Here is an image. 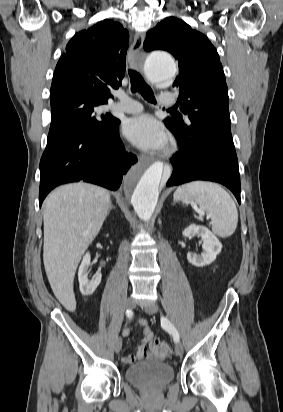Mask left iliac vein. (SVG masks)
Returning a JSON list of instances; mask_svg holds the SVG:
<instances>
[{"instance_id": "4c4485c4", "label": "left iliac vein", "mask_w": 283, "mask_h": 412, "mask_svg": "<svg viewBox=\"0 0 283 412\" xmlns=\"http://www.w3.org/2000/svg\"><path fill=\"white\" fill-rule=\"evenodd\" d=\"M144 309H145V312L148 313V314H155L159 310L157 304H155V303H151L149 305H146L144 307ZM175 353L178 356H181L182 353H183V346L180 342L175 343Z\"/></svg>"}]
</instances>
